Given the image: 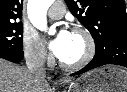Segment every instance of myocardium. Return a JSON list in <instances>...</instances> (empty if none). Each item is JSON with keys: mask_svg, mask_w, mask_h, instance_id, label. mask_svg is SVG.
I'll use <instances>...</instances> for the list:
<instances>
[{"mask_svg": "<svg viewBox=\"0 0 127 92\" xmlns=\"http://www.w3.org/2000/svg\"><path fill=\"white\" fill-rule=\"evenodd\" d=\"M72 33L84 37L86 41V52L80 60L73 63H66L60 59L59 60L60 67L67 71H77L84 68L92 61L96 53L95 39L88 29L78 26L72 29Z\"/></svg>", "mask_w": 127, "mask_h": 92, "instance_id": "myocardium-1", "label": "myocardium"}]
</instances>
